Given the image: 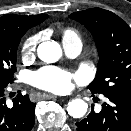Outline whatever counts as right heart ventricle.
<instances>
[{
  "mask_svg": "<svg viewBox=\"0 0 131 131\" xmlns=\"http://www.w3.org/2000/svg\"><path fill=\"white\" fill-rule=\"evenodd\" d=\"M75 39H79L80 40V37L77 33V31H75L74 29H65L63 31V34H62V40L63 42L64 41H70V40H75Z\"/></svg>",
  "mask_w": 131,
  "mask_h": 131,
  "instance_id": "e07e8e85",
  "label": "right heart ventricle"
}]
</instances>
